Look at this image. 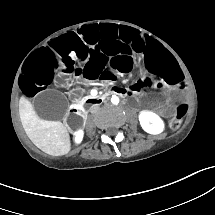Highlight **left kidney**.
I'll list each match as a JSON object with an SVG mask.
<instances>
[{
    "label": "left kidney",
    "mask_w": 215,
    "mask_h": 215,
    "mask_svg": "<svg viewBox=\"0 0 215 215\" xmlns=\"http://www.w3.org/2000/svg\"><path fill=\"white\" fill-rule=\"evenodd\" d=\"M139 120L142 128L150 134L161 133L164 128L161 118L152 112H141Z\"/></svg>",
    "instance_id": "left-kidney-1"
}]
</instances>
